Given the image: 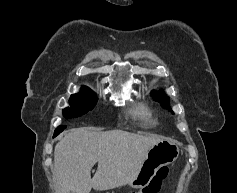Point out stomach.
<instances>
[{
  "mask_svg": "<svg viewBox=\"0 0 237 193\" xmlns=\"http://www.w3.org/2000/svg\"><path fill=\"white\" fill-rule=\"evenodd\" d=\"M178 156L179 148L173 141L161 140L148 150L136 177L129 185L134 188L148 185L159 168L171 164Z\"/></svg>",
  "mask_w": 237,
  "mask_h": 193,
  "instance_id": "0dacf381",
  "label": "stomach"
}]
</instances>
